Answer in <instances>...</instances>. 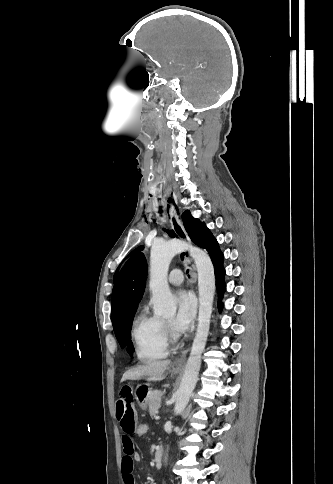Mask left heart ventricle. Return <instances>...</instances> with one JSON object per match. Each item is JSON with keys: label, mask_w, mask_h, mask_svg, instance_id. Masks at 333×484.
Returning a JSON list of instances; mask_svg holds the SVG:
<instances>
[{"label": "left heart ventricle", "mask_w": 333, "mask_h": 484, "mask_svg": "<svg viewBox=\"0 0 333 484\" xmlns=\"http://www.w3.org/2000/svg\"><path fill=\"white\" fill-rule=\"evenodd\" d=\"M172 319H173V317H168V318H167V321H168V322H171V321H172Z\"/></svg>", "instance_id": "left-heart-ventricle-1"}]
</instances>
